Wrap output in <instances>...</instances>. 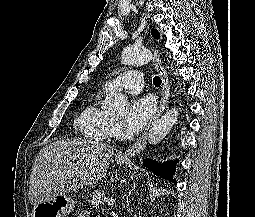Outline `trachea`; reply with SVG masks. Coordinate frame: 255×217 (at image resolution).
<instances>
[{"label": "trachea", "mask_w": 255, "mask_h": 217, "mask_svg": "<svg viewBox=\"0 0 255 217\" xmlns=\"http://www.w3.org/2000/svg\"><path fill=\"white\" fill-rule=\"evenodd\" d=\"M153 83L156 87H159L161 85V78L159 76H155L153 78Z\"/></svg>", "instance_id": "obj_1"}]
</instances>
